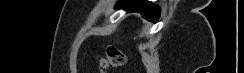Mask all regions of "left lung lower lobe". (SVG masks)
Returning <instances> with one entry per match:
<instances>
[{
	"label": "left lung lower lobe",
	"instance_id": "left-lung-lower-lobe-1",
	"mask_svg": "<svg viewBox=\"0 0 244 73\" xmlns=\"http://www.w3.org/2000/svg\"><path fill=\"white\" fill-rule=\"evenodd\" d=\"M119 7L129 11H138L144 18L150 21H156L160 15V9L146 0H120L116 8L118 9Z\"/></svg>",
	"mask_w": 244,
	"mask_h": 73
}]
</instances>
